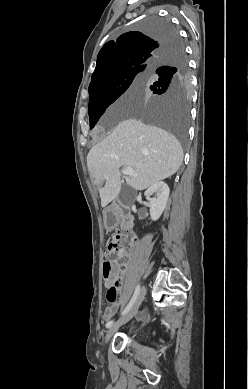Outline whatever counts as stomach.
I'll list each match as a JSON object with an SVG mask.
<instances>
[{
  "label": "stomach",
  "mask_w": 248,
  "mask_h": 389,
  "mask_svg": "<svg viewBox=\"0 0 248 389\" xmlns=\"http://www.w3.org/2000/svg\"><path fill=\"white\" fill-rule=\"evenodd\" d=\"M106 218H107L108 220H111V219L113 218V215H112L111 213H108V214L106 215Z\"/></svg>",
  "instance_id": "obj_1"
}]
</instances>
